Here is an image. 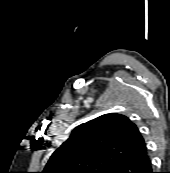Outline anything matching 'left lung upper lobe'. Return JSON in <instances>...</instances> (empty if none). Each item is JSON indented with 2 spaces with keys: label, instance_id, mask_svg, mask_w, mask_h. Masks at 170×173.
I'll return each mask as SVG.
<instances>
[{
  "label": "left lung upper lobe",
  "instance_id": "5c2ea615",
  "mask_svg": "<svg viewBox=\"0 0 170 173\" xmlns=\"http://www.w3.org/2000/svg\"><path fill=\"white\" fill-rule=\"evenodd\" d=\"M145 151L146 143L134 123L124 115L105 114L77 126L42 173H114Z\"/></svg>",
  "mask_w": 170,
  "mask_h": 173
}]
</instances>
